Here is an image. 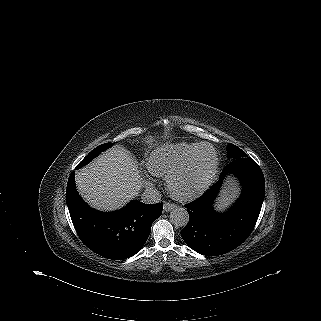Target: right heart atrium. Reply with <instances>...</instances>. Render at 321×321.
<instances>
[{"label": "right heart atrium", "mask_w": 321, "mask_h": 321, "mask_svg": "<svg viewBox=\"0 0 321 321\" xmlns=\"http://www.w3.org/2000/svg\"><path fill=\"white\" fill-rule=\"evenodd\" d=\"M147 177H148V181H151V178L149 176H147Z\"/></svg>", "instance_id": "right-heart-atrium-1"}]
</instances>
